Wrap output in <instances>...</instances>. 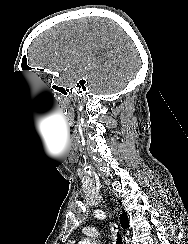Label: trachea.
I'll use <instances>...</instances> for the list:
<instances>
[{
  "instance_id": "3493384b",
  "label": "trachea",
  "mask_w": 188,
  "mask_h": 244,
  "mask_svg": "<svg viewBox=\"0 0 188 244\" xmlns=\"http://www.w3.org/2000/svg\"><path fill=\"white\" fill-rule=\"evenodd\" d=\"M114 229L116 228L114 227ZM117 244H123L122 238L119 233H117Z\"/></svg>"
}]
</instances>
